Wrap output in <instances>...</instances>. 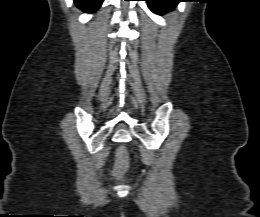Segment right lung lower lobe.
I'll return each instance as SVG.
<instances>
[{
    "instance_id": "1",
    "label": "right lung lower lobe",
    "mask_w": 260,
    "mask_h": 217,
    "mask_svg": "<svg viewBox=\"0 0 260 217\" xmlns=\"http://www.w3.org/2000/svg\"><path fill=\"white\" fill-rule=\"evenodd\" d=\"M103 0H74V3L84 12H94L102 4Z\"/></svg>"
}]
</instances>
